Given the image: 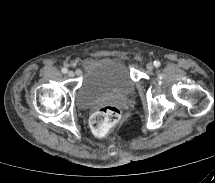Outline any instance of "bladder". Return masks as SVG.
Returning <instances> with one entry per match:
<instances>
[{
	"instance_id": "1",
	"label": "bladder",
	"mask_w": 215,
	"mask_h": 183,
	"mask_svg": "<svg viewBox=\"0 0 215 183\" xmlns=\"http://www.w3.org/2000/svg\"><path fill=\"white\" fill-rule=\"evenodd\" d=\"M135 88L124 61L108 57L88 59L81 65L75 101L80 109H88L112 96H128Z\"/></svg>"
}]
</instances>
